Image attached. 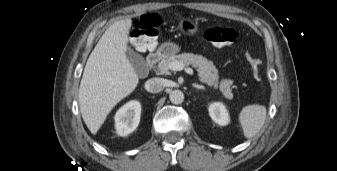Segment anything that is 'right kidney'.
<instances>
[{"instance_id": "right-kidney-1", "label": "right kidney", "mask_w": 337, "mask_h": 171, "mask_svg": "<svg viewBox=\"0 0 337 171\" xmlns=\"http://www.w3.org/2000/svg\"><path fill=\"white\" fill-rule=\"evenodd\" d=\"M141 105L138 101H130L122 106L115 115V129L118 135L132 133L140 122Z\"/></svg>"}]
</instances>
